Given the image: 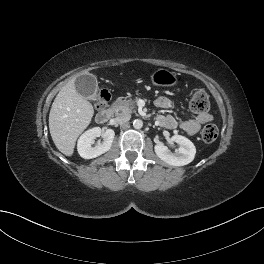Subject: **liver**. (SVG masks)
I'll return each instance as SVG.
<instances>
[{
  "label": "liver",
  "instance_id": "6515ba94",
  "mask_svg": "<svg viewBox=\"0 0 264 264\" xmlns=\"http://www.w3.org/2000/svg\"><path fill=\"white\" fill-rule=\"evenodd\" d=\"M76 77L69 80L59 91L51 106L49 130L57 149L72 156L79 135L91 123L94 109L75 87Z\"/></svg>",
  "mask_w": 264,
  "mask_h": 264
}]
</instances>
